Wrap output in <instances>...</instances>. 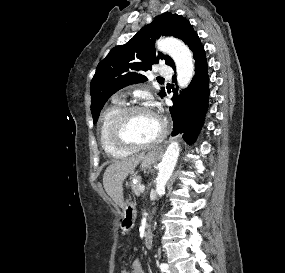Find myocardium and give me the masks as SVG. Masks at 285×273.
<instances>
[{"label": "myocardium", "mask_w": 285, "mask_h": 273, "mask_svg": "<svg viewBox=\"0 0 285 273\" xmlns=\"http://www.w3.org/2000/svg\"><path fill=\"white\" fill-rule=\"evenodd\" d=\"M139 111H148L151 112L149 109L146 107H143L141 105H128L123 107L117 116L115 117L112 126H111V139L112 142L119 147L120 149L126 150V151H137V150H142V149H147L150 147H153L157 144H159L167 135V124L163 118H161L159 115L153 113L155 117L157 118L159 124H160V132L158 136L153 139L150 142L146 143H134L128 140L124 136V128L126 121L128 117Z\"/></svg>", "instance_id": "myocardium-1"}]
</instances>
